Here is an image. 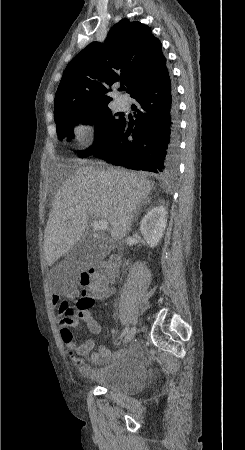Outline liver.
<instances>
[{
  "label": "liver",
  "mask_w": 245,
  "mask_h": 450,
  "mask_svg": "<svg viewBox=\"0 0 245 450\" xmlns=\"http://www.w3.org/2000/svg\"><path fill=\"white\" fill-rule=\"evenodd\" d=\"M153 188L143 175L124 169L83 166L72 171L54 196L45 228L47 264L85 238L89 217L107 220L111 239L121 240Z\"/></svg>",
  "instance_id": "6515ba94"
}]
</instances>
